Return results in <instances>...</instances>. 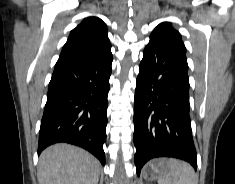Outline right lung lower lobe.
<instances>
[{"mask_svg": "<svg viewBox=\"0 0 235 184\" xmlns=\"http://www.w3.org/2000/svg\"><path fill=\"white\" fill-rule=\"evenodd\" d=\"M112 59L57 61L41 120L38 155L52 144L66 142L88 150L105 164Z\"/></svg>", "mask_w": 235, "mask_h": 184, "instance_id": "98d812e1", "label": "right lung lower lobe"}]
</instances>
